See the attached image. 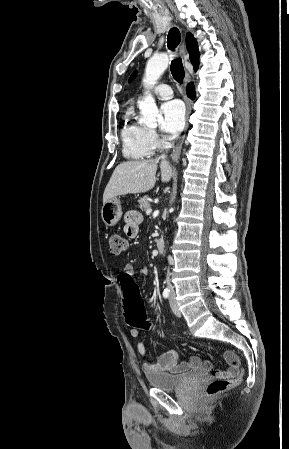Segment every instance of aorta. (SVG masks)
Returning a JSON list of instances; mask_svg holds the SVG:
<instances>
[{
  "mask_svg": "<svg viewBox=\"0 0 289 449\" xmlns=\"http://www.w3.org/2000/svg\"><path fill=\"white\" fill-rule=\"evenodd\" d=\"M169 64V56L166 53L151 57L145 69L143 83L146 88H150L156 84L157 80L164 73ZM141 111L140 122L147 126H156L159 110L155 100L150 93H147L142 101L139 102Z\"/></svg>",
  "mask_w": 289,
  "mask_h": 449,
  "instance_id": "1",
  "label": "aorta"
}]
</instances>
